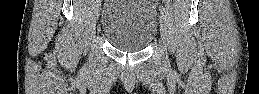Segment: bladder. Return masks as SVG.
Returning <instances> with one entry per match:
<instances>
[{
	"label": "bladder",
	"instance_id": "1",
	"mask_svg": "<svg viewBox=\"0 0 259 94\" xmlns=\"http://www.w3.org/2000/svg\"><path fill=\"white\" fill-rule=\"evenodd\" d=\"M101 29L115 48L141 51L157 35V10L149 0H107L102 11Z\"/></svg>",
	"mask_w": 259,
	"mask_h": 94
}]
</instances>
